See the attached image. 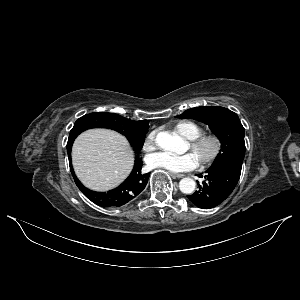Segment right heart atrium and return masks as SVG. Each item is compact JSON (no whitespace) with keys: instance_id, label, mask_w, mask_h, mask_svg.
<instances>
[{"instance_id":"1","label":"right heart atrium","mask_w":300,"mask_h":300,"mask_svg":"<svg viewBox=\"0 0 300 300\" xmlns=\"http://www.w3.org/2000/svg\"><path fill=\"white\" fill-rule=\"evenodd\" d=\"M156 131L150 132L144 139L143 142V150L145 152H151L155 149L156 147Z\"/></svg>"}]
</instances>
